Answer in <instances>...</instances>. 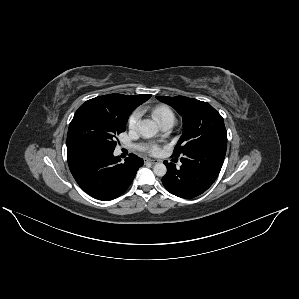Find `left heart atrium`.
<instances>
[{
  "label": "left heart atrium",
  "mask_w": 299,
  "mask_h": 299,
  "mask_svg": "<svg viewBox=\"0 0 299 299\" xmlns=\"http://www.w3.org/2000/svg\"><path fill=\"white\" fill-rule=\"evenodd\" d=\"M146 150L151 155H157L160 152L159 146L155 143L147 144Z\"/></svg>",
  "instance_id": "obj_1"
}]
</instances>
